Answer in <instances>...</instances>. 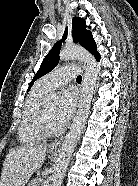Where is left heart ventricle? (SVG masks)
I'll return each mask as SVG.
<instances>
[{
    "mask_svg": "<svg viewBox=\"0 0 138 186\" xmlns=\"http://www.w3.org/2000/svg\"><path fill=\"white\" fill-rule=\"evenodd\" d=\"M57 106L58 105L56 102H47L46 104L45 120L47 126L51 130H57L61 128L56 115Z\"/></svg>",
    "mask_w": 138,
    "mask_h": 186,
    "instance_id": "1",
    "label": "left heart ventricle"
}]
</instances>
